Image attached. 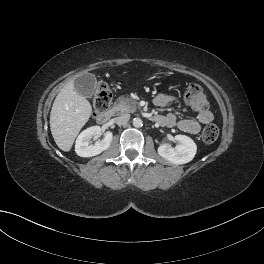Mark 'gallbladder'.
Instances as JSON below:
<instances>
[{"instance_id":"1","label":"gallbladder","mask_w":264,"mask_h":264,"mask_svg":"<svg viewBox=\"0 0 264 264\" xmlns=\"http://www.w3.org/2000/svg\"><path fill=\"white\" fill-rule=\"evenodd\" d=\"M96 78L93 74L88 73L77 77L74 80L75 90L86 98H91L94 94Z\"/></svg>"}]
</instances>
